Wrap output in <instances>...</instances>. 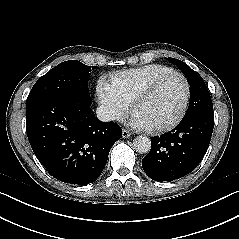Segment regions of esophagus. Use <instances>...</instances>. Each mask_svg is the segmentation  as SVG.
Wrapping results in <instances>:
<instances>
[{"mask_svg":"<svg viewBox=\"0 0 239 239\" xmlns=\"http://www.w3.org/2000/svg\"><path fill=\"white\" fill-rule=\"evenodd\" d=\"M130 135H131V133L128 130H126V129L122 130V137L123 138H129Z\"/></svg>","mask_w":239,"mask_h":239,"instance_id":"1","label":"esophagus"}]
</instances>
